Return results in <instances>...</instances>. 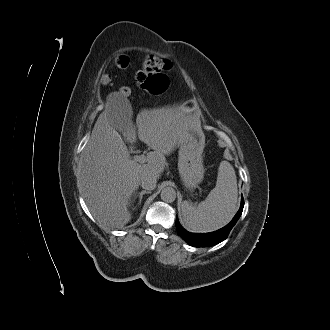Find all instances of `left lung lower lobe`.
<instances>
[{
    "mask_svg": "<svg viewBox=\"0 0 330 330\" xmlns=\"http://www.w3.org/2000/svg\"><path fill=\"white\" fill-rule=\"evenodd\" d=\"M244 207V200L242 197L241 206L234 218L231 222L226 225L224 228L211 232V233H190L187 232L183 227L180 225L178 218H176V228L178 234L191 246L194 247H210L214 246L223 240H225L230 233L233 226L236 224L237 220L242 214Z\"/></svg>",
    "mask_w": 330,
    "mask_h": 330,
    "instance_id": "1",
    "label": "left lung lower lobe"
}]
</instances>
